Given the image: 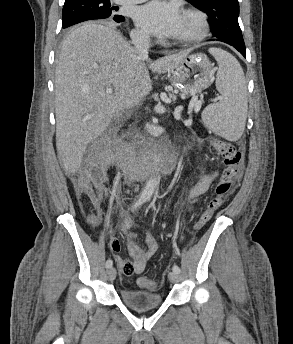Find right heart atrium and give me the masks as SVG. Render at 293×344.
<instances>
[{
  "label": "right heart atrium",
  "instance_id": "1",
  "mask_svg": "<svg viewBox=\"0 0 293 344\" xmlns=\"http://www.w3.org/2000/svg\"><path fill=\"white\" fill-rule=\"evenodd\" d=\"M132 36L137 41H147L148 40V36L145 33L138 31V30H134L132 33Z\"/></svg>",
  "mask_w": 293,
  "mask_h": 344
}]
</instances>
